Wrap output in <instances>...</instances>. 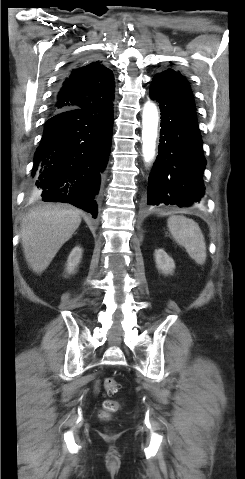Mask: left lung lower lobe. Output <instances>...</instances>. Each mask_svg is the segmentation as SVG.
<instances>
[{
    "label": "left lung lower lobe",
    "mask_w": 245,
    "mask_h": 479,
    "mask_svg": "<svg viewBox=\"0 0 245 479\" xmlns=\"http://www.w3.org/2000/svg\"><path fill=\"white\" fill-rule=\"evenodd\" d=\"M150 97L161 108V130L159 154L148 180L147 204H199L204 194L205 158L190 85L183 75L154 78Z\"/></svg>",
    "instance_id": "left-lung-lower-lobe-1"
}]
</instances>
